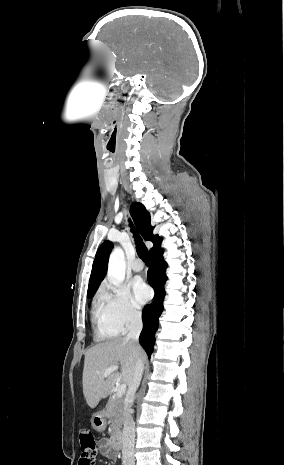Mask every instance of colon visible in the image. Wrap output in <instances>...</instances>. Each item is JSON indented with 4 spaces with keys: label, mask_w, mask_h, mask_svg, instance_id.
Masks as SVG:
<instances>
[{
    "label": "colon",
    "mask_w": 284,
    "mask_h": 465,
    "mask_svg": "<svg viewBox=\"0 0 284 465\" xmlns=\"http://www.w3.org/2000/svg\"><path fill=\"white\" fill-rule=\"evenodd\" d=\"M81 446V458L79 465H94L93 457L96 448L95 438L88 429H81L79 432Z\"/></svg>",
    "instance_id": "obj_1"
}]
</instances>
